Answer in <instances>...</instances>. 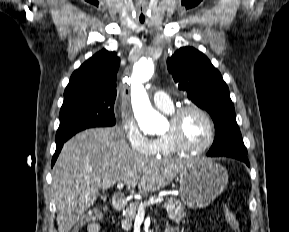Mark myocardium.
Instances as JSON below:
<instances>
[{
    "mask_svg": "<svg viewBox=\"0 0 289 232\" xmlns=\"http://www.w3.org/2000/svg\"><path fill=\"white\" fill-rule=\"evenodd\" d=\"M188 111H196L198 112L206 121L208 128H209V136L205 143L199 146H189L187 145L180 134V121L183 115ZM171 129L169 132L165 134L171 145L182 153H189V154H196L205 151L209 148L215 140L216 129L214 122L208 112L203 109L202 107L196 104H186L180 107H177L173 110L170 114Z\"/></svg>",
    "mask_w": 289,
    "mask_h": 232,
    "instance_id": "obj_1",
    "label": "myocardium"
}]
</instances>
